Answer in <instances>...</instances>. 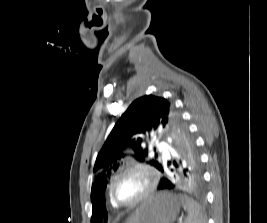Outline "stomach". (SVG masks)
<instances>
[{"label": "stomach", "instance_id": "stomach-1", "mask_svg": "<svg viewBox=\"0 0 267 223\" xmlns=\"http://www.w3.org/2000/svg\"><path fill=\"white\" fill-rule=\"evenodd\" d=\"M180 198L170 192H159L147 198L126 223H173L180 211Z\"/></svg>", "mask_w": 267, "mask_h": 223}]
</instances>
